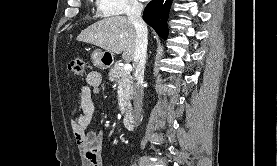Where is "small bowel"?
<instances>
[{"label": "small bowel", "instance_id": "small-bowel-1", "mask_svg": "<svg viewBox=\"0 0 277 166\" xmlns=\"http://www.w3.org/2000/svg\"><path fill=\"white\" fill-rule=\"evenodd\" d=\"M101 74L92 71L86 75L85 83L80 88V114L71 120V129L76 141L82 166H102L103 131H88L95 112L93 95L99 93Z\"/></svg>", "mask_w": 277, "mask_h": 166}]
</instances>
